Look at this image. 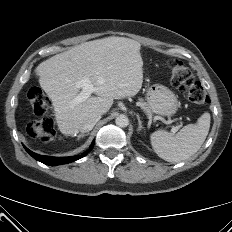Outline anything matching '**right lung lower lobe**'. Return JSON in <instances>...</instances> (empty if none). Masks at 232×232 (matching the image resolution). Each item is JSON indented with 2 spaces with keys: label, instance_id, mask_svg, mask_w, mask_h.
I'll use <instances>...</instances> for the list:
<instances>
[{
  "label": "right lung lower lobe",
  "instance_id": "obj_1",
  "mask_svg": "<svg viewBox=\"0 0 232 232\" xmlns=\"http://www.w3.org/2000/svg\"><path fill=\"white\" fill-rule=\"evenodd\" d=\"M94 146V141L91 145V148L92 149ZM25 150L36 160L44 163V164H47V165H51V166H54V165H61V164H66V163H71L73 161H76L82 157L85 156V154H82V155H77V156H73V157H51V156H42V155H38L32 151H30L28 148H26L24 146Z\"/></svg>",
  "mask_w": 232,
  "mask_h": 232
}]
</instances>
